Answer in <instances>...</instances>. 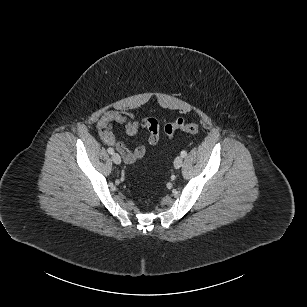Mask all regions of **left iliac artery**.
I'll return each instance as SVG.
<instances>
[{
	"mask_svg": "<svg viewBox=\"0 0 307 307\" xmlns=\"http://www.w3.org/2000/svg\"><path fill=\"white\" fill-rule=\"evenodd\" d=\"M180 155H181V157H186L187 156V151L183 150Z\"/></svg>",
	"mask_w": 307,
	"mask_h": 307,
	"instance_id": "1",
	"label": "left iliac artery"
}]
</instances>
